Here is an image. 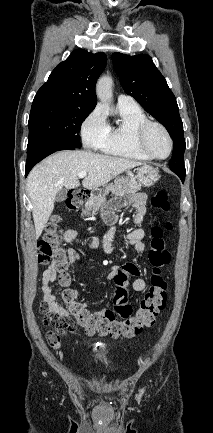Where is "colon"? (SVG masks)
Segmentation results:
<instances>
[{
    "instance_id": "1",
    "label": "colon",
    "mask_w": 213,
    "mask_h": 433,
    "mask_svg": "<svg viewBox=\"0 0 213 433\" xmlns=\"http://www.w3.org/2000/svg\"><path fill=\"white\" fill-rule=\"evenodd\" d=\"M90 194L83 189H73L68 193L66 205L69 210L75 211L89 199ZM152 208L157 212H167L170 208L168 194L163 189H157L151 199ZM59 218L55 217L47 226L46 233L38 244L40 251L39 262L54 261L61 271L59 282L64 287L62 299L68 311L77 324L88 333L108 335L112 338H131L139 335L144 328L154 324L157 315L165 307L167 300V281L163 276L162 268L170 261L166 249L163 229L153 226L150 233L148 259L153 266L150 286L141 298L135 311L128 303L126 286L130 274L127 269H120L113 277L117 284L114 297V308L105 312L91 311L85 304L76 300V291L69 288V276L64 268L65 252L60 246L58 236ZM166 230L171 231L173 225L167 222ZM44 323L52 325L58 332L67 334L74 330L72 323L66 319L51 314H45Z\"/></svg>"
}]
</instances>
